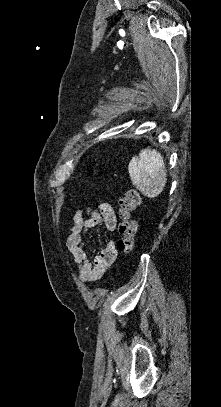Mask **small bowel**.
Here are the masks:
<instances>
[{
  "label": "small bowel",
  "mask_w": 221,
  "mask_h": 407,
  "mask_svg": "<svg viewBox=\"0 0 221 407\" xmlns=\"http://www.w3.org/2000/svg\"><path fill=\"white\" fill-rule=\"evenodd\" d=\"M84 215H87V219ZM101 224H104L109 231L116 229L117 216L113 206L107 202L100 203L98 209L87 207L85 210L74 211L73 224L69 228L65 244L76 265L77 278L82 283L99 280L118 257L115 243L111 240L105 249L96 255L92 262L90 261L83 234H87L92 228Z\"/></svg>",
  "instance_id": "small-bowel-1"
}]
</instances>
